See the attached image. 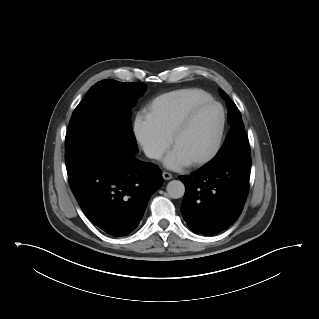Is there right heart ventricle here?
Listing matches in <instances>:
<instances>
[{"label": "right heart ventricle", "instance_id": "obj_1", "mask_svg": "<svg viewBox=\"0 0 319 319\" xmlns=\"http://www.w3.org/2000/svg\"><path fill=\"white\" fill-rule=\"evenodd\" d=\"M209 99L212 96L199 88L175 90L155 97L146 107V117L169 138L192 106Z\"/></svg>", "mask_w": 319, "mask_h": 319}]
</instances>
